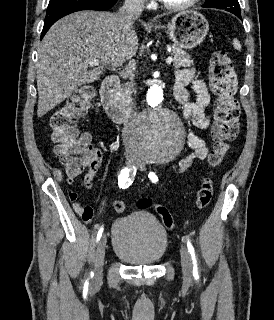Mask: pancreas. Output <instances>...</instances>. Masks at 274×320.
<instances>
[{"label":"pancreas","instance_id":"pancreas-1","mask_svg":"<svg viewBox=\"0 0 274 320\" xmlns=\"http://www.w3.org/2000/svg\"><path fill=\"white\" fill-rule=\"evenodd\" d=\"M167 48H171L172 54H174V64L175 68H190L193 62L190 60L191 56L181 50V48H176V46H167ZM131 88H119L118 92H116L117 98H119L118 102H121L123 106H129L131 104Z\"/></svg>","mask_w":274,"mask_h":320}]
</instances>
